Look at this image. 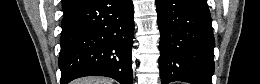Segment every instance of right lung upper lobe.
Instances as JSON below:
<instances>
[{
  "label": "right lung upper lobe",
  "mask_w": 260,
  "mask_h": 84,
  "mask_svg": "<svg viewBox=\"0 0 260 84\" xmlns=\"http://www.w3.org/2000/svg\"><path fill=\"white\" fill-rule=\"evenodd\" d=\"M85 1L86 0H63L62 4H63L64 14L73 11Z\"/></svg>",
  "instance_id": "obj_1"
}]
</instances>
